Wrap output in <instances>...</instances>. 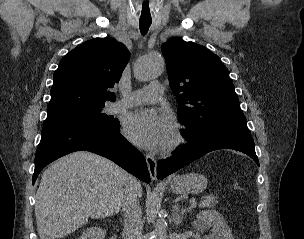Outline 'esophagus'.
<instances>
[{
    "label": "esophagus",
    "mask_w": 304,
    "mask_h": 239,
    "mask_svg": "<svg viewBox=\"0 0 304 239\" xmlns=\"http://www.w3.org/2000/svg\"><path fill=\"white\" fill-rule=\"evenodd\" d=\"M145 158H146V163H147V166H148V170H149V173H150L151 180L156 181L157 162H156L154 156H152L150 154H146Z\"/></svg>",
    "instance_id": "1"
}]
</instances>
